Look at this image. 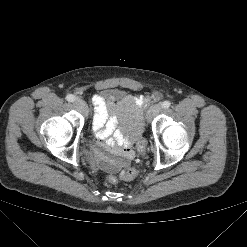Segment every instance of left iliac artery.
Segmentation results:
<instances>
[{
  "instance_id": "1",
  "label": "left iliac artery",
  "mask_w": 247,
  "mask_h": 247,
  "mask_svg": "<svg viewBox=\"0 0 247 247\" xmlns=\"http://www.w3.org/2000/svg\"><path fill=\"white\" fill-rule=\"evenodd\" d=\"M162 108L164 109H167L171 106V103L169 101H164L162 104H161Z\"/></svg>"
}]
</instances>
